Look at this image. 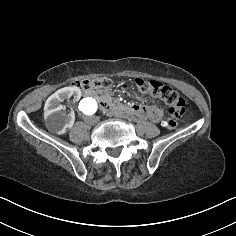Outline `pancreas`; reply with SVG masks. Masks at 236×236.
Listing matches in <instances>:
<instances>
[{"mask_svg": "<svg viewBox=\"0 0 236 236\" xmlns=\"http://www.w3.org/2000/svg\"><path fill=\"white\" fill-rule=\"evenodd\" d=\"M101 97H102V99H109L111 97V95H110L109 91L105 90V91H103Z\"/></svg>", "mask_w": 236, "mask_h": 236, "instance_id": "pancreas-1", "label": "pancreas"}]
</instances>
